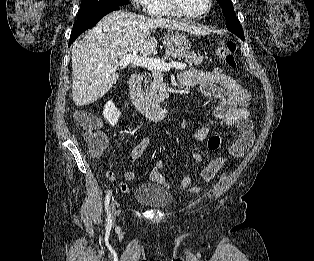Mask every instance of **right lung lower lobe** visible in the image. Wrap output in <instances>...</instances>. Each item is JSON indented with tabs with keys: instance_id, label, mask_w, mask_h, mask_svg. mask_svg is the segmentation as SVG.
Here are the masks:
<instances>
[{
	"instance_id": "1",
	"label": "right lung lower lobe",
	"mask_w": 314,
	"mask_h": 261,
	"mask_svg": "<svg viewBox=\"0 0 314 261\" xmlns=\"http://www.w3.org/2000/svg\"><path fill=\"white\" fill-rule=\"evenodd\" d=\"M120 9L119 6H111L107 9L100 10L88 17L77 19L74 23L70 40H69V46L74 42V40L84 31L94 26L103 16L106 14Z\"/></svg>"
}]
</instances>
